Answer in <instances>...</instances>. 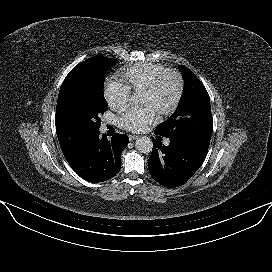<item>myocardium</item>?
Returning a JSON list of instances; mask_svg holds the SVG:
<instances>
[{"mask_svg": "<svg viewBox=\"0 0 272 272\" xmlns=\"http://www.w3.org/2000/svg\"><path fill=\"white\" fill-rule=\"evenodd\" d=\"M168 73H173L178 78V93L177 96L172 103V105L166 109L165 111L161 112L160 115L163 117H168L172 115L179 107L181 100L183 98L184 89H185V81L183 74L177 68L174 67H164L160 70L152 79L151 81L140 91V93H147L153 91L161 82L164 75Z\"/></svg>", "mask_w": 272, "mask_h": 272, "instance_id": "f54148a6", "label": "myocardium"}]
</instances>
